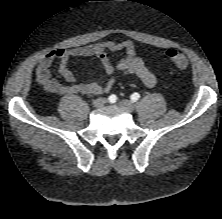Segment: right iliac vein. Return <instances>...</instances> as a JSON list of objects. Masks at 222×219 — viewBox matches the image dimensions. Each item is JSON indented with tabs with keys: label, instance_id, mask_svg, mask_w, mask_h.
I'll return each instance as SVG.
<instances>
[{
	"label": "right iliac vein",
	"instance_id": "1",
	"mask_svg": "<svg viewBox=\"0 0 222 219\" xmlns=\"http://www.w3.org/2000/svg\"><path fill=\"white\" fill-rule=\"evenodd\" d=\"M105 103H106V100L104 98H98L93 101V106L99 108V107H102Z\"/></svg>",
	"mask_w": 222,
	"mask_h": 219
}]
</instances>
